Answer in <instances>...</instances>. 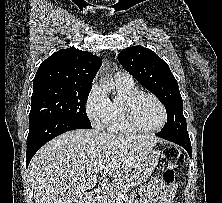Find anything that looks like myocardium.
<instances>
[{"label":"myocardium","instance_id":"myocardium-1","mask_svg":"<svg viewBox=\"0 0 222 203\" xmlns=\"http://www.w3.org/2000/svg\"><path fill=\"white\" fill-rule=\"evenodd\" d=\"M144 97H149L151 99H153L158 106L160 107L161 111H162V122L159 126L155 127V128H144L142 127L135 116V106L137 104V102L144 98ZM123 112H124V116L125 119L128 123V125L134 129L137 132H141V133H156L159 132L160 130H162L168 120V114H167V110L165 105L162 103V101L155 96L152 93H147V92H137L133 95L128 96L127 98H125L124 102H123Z\"/></svg>","mask_w":222,"mask_h":203}]
</instances>
